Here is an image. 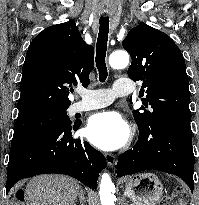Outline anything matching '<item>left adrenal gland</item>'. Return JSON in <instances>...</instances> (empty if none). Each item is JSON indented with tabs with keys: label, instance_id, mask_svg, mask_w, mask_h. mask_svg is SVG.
Masks as SVG:
<instances>
[{
	"label": "left adrenal gland",
	"instance_id": "1",
	"mask_svg": "<svg viewBox=\"0 0 199 205\" xmlns=\"http://www.w3.org/2000/svg\"><path fill=\"white\" fill-rule=\"evenodd\" d=\"M122 205H128V203L125 202V197L122 198Z\"/></svg>",
	"mask_w": 199,
	"mask_h": 205
}]
</instances>
